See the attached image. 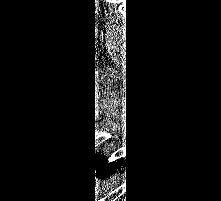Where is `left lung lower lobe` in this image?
<instances>
[{
	"instance_id": "1",
	"label": "left lung lower lobe",
	"mask_w": 221,
	"mask_h": 201,
	"mask_svg": "<svg viewBox=\"0 0 221 201\" xmlns=\"http://www.w3.org/2000/svg\"><path fill=\"white\" fill-rule=\"evenodd\" d=\"M119 157V155H118ZM103 152V144L93 143L85 148L82 157V169L85 175L93 178L104 179L113 173H117V178L121 179L126 172V180H128L130 170L128 161L123 157H119L116 161L108 163Z\"/></svg>"
}]
</instances>
